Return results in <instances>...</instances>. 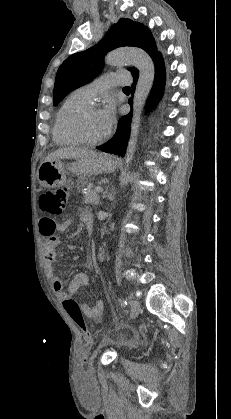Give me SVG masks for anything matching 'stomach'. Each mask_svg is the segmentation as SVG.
<instances>
[{"instance_id": "stomach-1", "label": "stomach", "mask_w": 231, "mask_h": 419, "mask_svg": "<svg viewBox=\"0 0 231 419\" xmlns=\"http://www.w3.org/2000/svg\"><path fill=\"white\" fill-rule=\"evenodd\" d=\"M117 161L106 153H94L91 156L78 158L66 168L60 159L42 162L37 170L39 184L45 188H56L67 184V169L80 176V184L85 178L93 175L110 173L115 170Z\"/></svg>"}]
</instances>
